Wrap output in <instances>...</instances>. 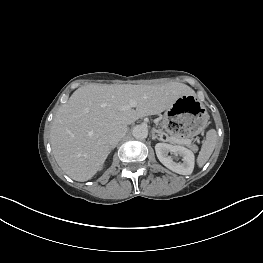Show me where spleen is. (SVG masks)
I'll return each mask as SVG.
<instances>
[{"instance_id":"obj_1","label":"spleen","mask_w":263,"mask_h":263,"mask_svg":"<svg viewBox=\"0 0 263 263\" xmlns=\"http://www.w3.org/2000/svg\"><path fill=\"white\" fill-rule=\"evenodd\" d=\"M217 142V133L214 129L209 130L206 135V140L202 144L199 152L197 163L199 167H202L212 155Z\"/></svg>"}]
</instances>
